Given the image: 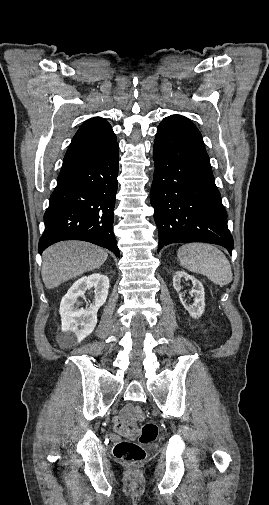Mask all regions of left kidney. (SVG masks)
<instances>
[{
    "instance_id": "1",
    "label": "left kidney",
    "mask_w": 269,
    "mask_h": 505,
    "mask_svg": "<svg viewBox=\"0 0 269 505\" xmlns=\"http://www.w3.org/2000/svg\"><path fill=\"white\" fill-rule=\"evenodd\" d=\"M182 278L185 280H190L193 284V289L189 292L191 295H194V301L192 304H188L184 298L185 294L180 292V281ZM173 287L179 293L180 302L188 311L190 316L195 319L201 317L205 310V292L202 283L194 276H191L188 273L179 270L173 276Z\"/></svg>"
}]
</instances>
